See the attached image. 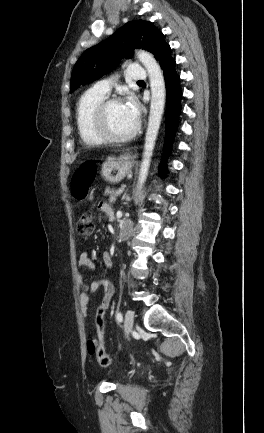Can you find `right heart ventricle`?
Here are the masks:
<instances>
[{
	"label": "right heart ventricle",
	"instance_id": "obj_1",
	"mask_svg": "<svg viewBox=\"0 0 264 433\" xmlns=\"http://www.w3.org/2000/svg\"><path fill=\"white\" fill-rule=\"evenodd\" d=\"M105 99L106 95L89 89L78 100L76 125L82 142L87 145H97L104 142L93 130L92 116L96 107Z\"/></svg>",
	"mask_w": 264,
	"mask_h": 433
}]
</instances>
